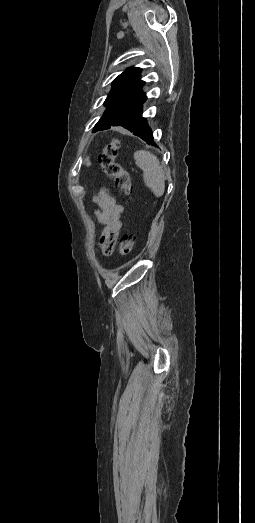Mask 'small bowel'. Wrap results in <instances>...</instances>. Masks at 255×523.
Listing matches in <instances>:
<instances>
[{
	"label": "small bowel",
	"mask_w": 255,
	"mask_h": 523,
	"mask_svg": "<svg viewBox=\"0 0 255 523\" xmlns=\"http://www.w3.org/2000/svg\"><path fill=\"white\" fill-rule=\"evenodd\" d=\"M93 200L96 205L94 214L102 225L99 244L103 254L110 255L122 229L121 214L123 207L104 189H100Z\"/></svg>",
	"instance_id": "c3829d8e"
}]
</instances>
